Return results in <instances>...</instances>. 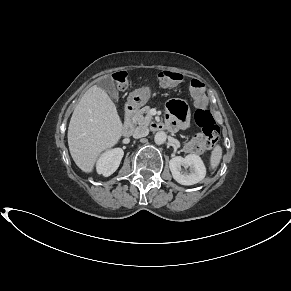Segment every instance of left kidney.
I'll return each mask as SVG.
<instances>
[{"label": "left kidney", "instance_id": "obj_1", "mask_svg": "<svg viewBox=\"0 0 291 291\" xmlns=\"http://www.w3.org/2000/svg\"><path fill=\"white\" fill-rule=\"evenodd\" d=\"M173 178L181 185H193L202 181L206 175L205 165L196 154H189L185 158L177 156L169 161ZM185 167L186 170H183Z\"/></svg>", "mask_w": 291, "mask_h": 291}]
</instances>
